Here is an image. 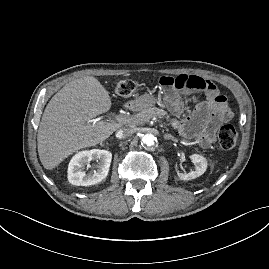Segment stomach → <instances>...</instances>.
Returning a JSON list of instances; mask_svg holds the SVG:
<instances>
[{
  "mask_svg": "<svg viewBox=\"0 0 269 269\" xmlns=\"http://www.w3.org/2000/svg\"><path fill=\"white\" fill-rule=\"evenodd\" d=\"M136 104L140 109L153 107L156 104V98L151 94H145L136 101Z\"/></svg>",
  "mask_w": 269,
  "mask_h": 269,
  "instance_id": "1",
  "label": "stomach"
}]
</instances>
